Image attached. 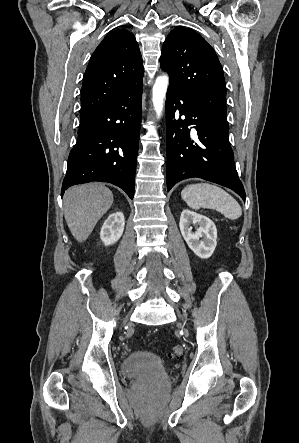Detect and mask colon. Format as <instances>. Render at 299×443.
I'll list each match as a JSON object with an SVG mask.
<instances>
[{"instance_id":"obj_1","label":"colon","mask_w":299,"mask_h":443,"mask_svg":"<svg viewBox=\"0 0 299 443\" xmlns=\"http://www.w3.org/2000/svg\"><path fill=\"white\" fill-rule=\"evenodd\" d=\"M170 356L177 359L181 358L183 356V347L181 345H175L172 347Z\"/></svg>"}]
</instances>
